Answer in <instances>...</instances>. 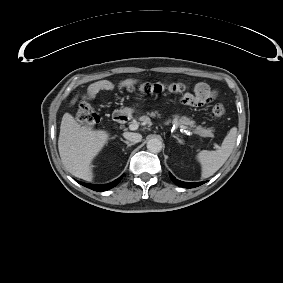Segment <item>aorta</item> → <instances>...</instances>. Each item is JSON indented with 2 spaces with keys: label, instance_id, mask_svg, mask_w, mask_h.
<instances>
[{
  "label": "aorta",
  "instance_id": "obj_1",
  "mask_svg": "<svg viewBox=\"0 0 283 283\" xmlns=\"http://www.w3.org/2000/svg\"><path fill=\"white\" fill-rule=\"evenodd\" d=\"M147 149L153 153H158L162 149V142L157 137H152L147 141Z\"/></svg>",
  "mask_w": 283,
  "mask_h": 283
}]
</instances>
